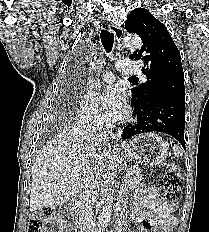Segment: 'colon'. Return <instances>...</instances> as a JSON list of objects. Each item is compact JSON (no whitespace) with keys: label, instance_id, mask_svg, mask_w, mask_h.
I'll list each match as a JSON object with an SVG mask.
<instances>
[{"label":"colon","instance_id":"colon-1","mask_svg":"<svg viewBox=\"0 0 209 232\" xmlns=\"http://www.w3.org/2000/svg\"><path fill=\"white\" fill-rule=\"evenodd\" d=\"M164 197L173 209L181 196L182 179L175 166H171L163 176ZM56 220V212L52 207H45L31 214L28 232H47V227Z\"/></svg>","mask_w":209,"mask_h":232}]
</instances>
